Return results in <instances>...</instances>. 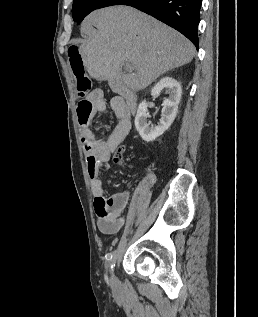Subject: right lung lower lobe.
<instances>
[{"label":"right lung lower lobe","instance_id":"right-lung-lower-lobe-1","mask_svg":"<svg viewBox=\"0 0 258 317\" xmlns=\"http://www.w3.org/2000/svg\"><path fill=\"white\" fill-rule=\"evenodd\" d=\"M202 0H88L76 22L79 24L89 13L112 5L137 8L185 35L198 49L197 27Z\"/></svg>","mask_w":258,"mask_h":317}]
</instances>
